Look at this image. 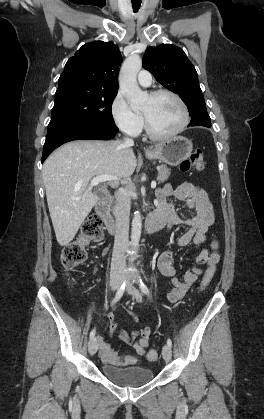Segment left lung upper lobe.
<instances>
[{
	"instance_id": "left-lung-upper-lobe-1",
	"label": "left lung upper lobe",
	"mask_w": 264,
	"mask_h": 419,
	"mask_svg": "<svg viewBox=\"0 0 264 419\" xmlns=\"http://www.w3.org/2000/svg\"><path fill=\"white\" fill-rule=\"evenodd\" d=\"M143 65L161 85L180 96L190 116L209 117L197 72L181 48L170 44L149 47Z\"/></svg>"
}]
</instances>
